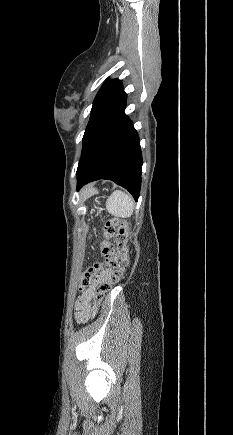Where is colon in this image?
I'll use <instances>...</instances> for the list:
<instances>
[{
    "label": "colon",
    "instance_id": "colon-1",
    "mask_svg": "<svg viewBox=\"0 0 233 435\" xmlns=\"http://www.w3.org/2000/svg\"><path fill=\"white\" fill-rule=\"evenodd\" d=\"M127 231L128 223L124 220L112 218L106 221L101 242L103 261L95 262L80 277V286L83 289L92 284L97 285L93 293V300L86 311L88 318L95 316L105 295L120 281L129 265ZM104 269L113 270L112 276L108 280L99 279V273Z\"/></svg>",
    "mask_w": 233,
    "mask_h": 435
}]
</instances>
